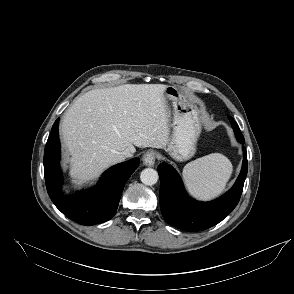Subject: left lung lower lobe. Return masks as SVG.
I'll return each instance as SVG.
<instances>
[{"mask_svg":"<svg viewBox=\"0 0 294 294\" xmlns=\"http://www.w3.org/2000/svg\"><path fill=\"white\" fill-rule=\"evenodd\" d=\"M237 140L244 144V137L238 124L229 117ZM247 152L243 146L242 170L234 186L222 197L200 202L190 198L184 190L182 181L169 164L158 166L160 177V208L166 222L179 229L195 232L208 229L230 214L239 202L247 175Z\"/></svg>","mask_w":294,"mask_h":294,"instance_id":"1","label":"left lung lower lobe"}]
</instances>
